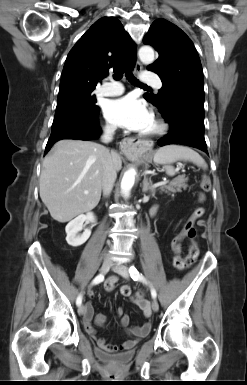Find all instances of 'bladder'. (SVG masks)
<instances>
[{
  "label": "bladder",
  "instance_id": "1",
  "mask_svg": "<svg viewBox=\"0 0 247 385\" xmlns=\"http://www.w3.org/2000/svg\"><path fill=\"white\" fill-rule=\"evenodd\" d=\"M99 353H101V351H99ZM132 356V352H128L124 355H118V360H126L128 358H130Z\"/></svg>",
  "mask_w": 247,
  "mask_h": 385
}]
</instances>
